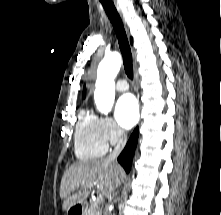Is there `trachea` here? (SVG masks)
<instances>
[{"label":"trachea","mask_w":221,"mask_h":215,"mask_svg":"<svg viewBox=\"0 0 221 215\" xmlns=\"http://www.w3.org/2000/svg\"><path fill=\"white\" fill-rule=\"evenodd\" d=\"M100 1L117 35L119 47L123 57L125 73L129 78L132 79L133 78L132 54L121 18L111 0H100Z\"/></svg>","instance_id":"trachea-1"}]
</instances>
